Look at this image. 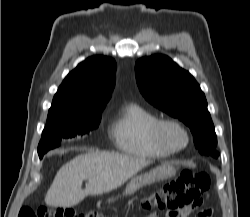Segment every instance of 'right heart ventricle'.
<instances>
[{"mask_svg":"<svg viewBox=\"0 0 250 217\" xmlns=\"http://www.w3.org/2000/svg\"><path fill=\"white\" fill-rule=\"evenodd\" d=\"M159 118L144 106L127 103L121 107L110 125V134L117 150L149 159H160L172 153L153 137V126Z\"/></svg>","mask_w":250,"mask_h":217,"instance_id":"right-heart-ventricle-1","label":"right heart ventricle"}]
</instances>
